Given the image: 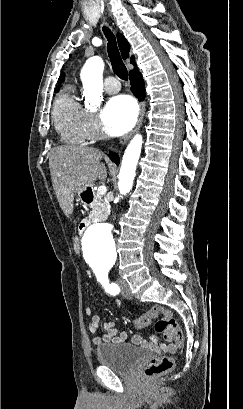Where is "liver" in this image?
Here are the masks:
<instances>
[{
	"label": "liver",
	"instance_id": "1",
	"mask_svg": "<svg viewBox=\"0 0 243 409\" xmlns=\"http://www.w3.org/2000/svg\"><path fill=\"white\" fill-rule=\"evenodd\" d=\"M102 157L99 149L84 146H58L51 150L49 168L52 185L60 207L68 218L73 212L74 192L106 177Z\"/></svg>",
	"mask_w": 243,
	"mask_h": 409
}]
</instances>
